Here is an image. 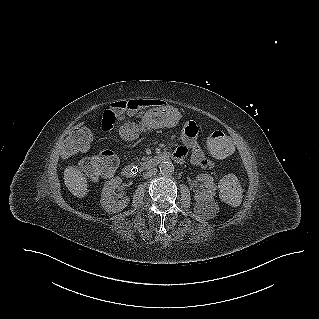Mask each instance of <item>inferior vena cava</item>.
I'll use <instances>...</instances> for the list:
<instances>
[{"instance_id":"obj_1","label":"inferior vena cava","mask_w":319,"mask_h":319,"mask_svg":"<svg viewBox=\"0 0 319 319\" xmlns=\"http://www.w3.org/2000/svg\"><path fill=\"white\" fill-rule=\"evenodd\" d=\"M156 173H157V169L154 168V169H151V170H149V171L143 173V177H144V178H149V177H151L152 175H154V174H156Z\"/></svg>"}]
</instances>
